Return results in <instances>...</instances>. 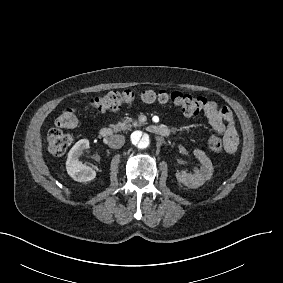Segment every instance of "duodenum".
Wrapping results in <instances>:
<instances>
[{"instance_id":"410a0bca","label":"duodenum","mask_w":283,"mask_h":283,"mask_svg":"<svg viewBox=\"0 0 283 283\" xmlns=\"http://www.w3.org/2000/svg\"><path fill=\"white\" fill-rule=\"evenodd\" d=\"M146 130L156 136L166 137L171 134V131L165 127L158 125H149ZM114 129L110 126H104L99 130V135L103 138H109L114 134Z\"/></svg>"}]
</instances>
